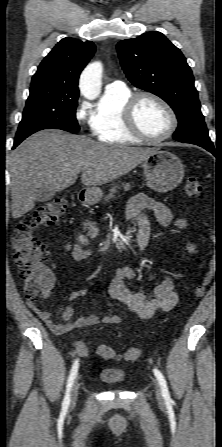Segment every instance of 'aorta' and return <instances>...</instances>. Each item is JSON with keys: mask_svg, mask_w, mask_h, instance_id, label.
Listing matches in <instances>:
<instances>
[{"mask_svg": "<svg viewBox=\"0 0 222 447\" xmlns=\"http://www.w3.org/2000/svg\"><path fill=\"white\" fill-rule=\"evenodd\" d=\"M102 64L100 62L90 63L82 72L80 78L81 93L92 100L97 97L101 86Z\"/></svg>", "mask_w": 222, "mask_h": 447, "instance_id": "762f6f07", "label": "aorta"}]
</instances>
